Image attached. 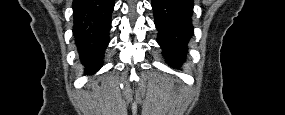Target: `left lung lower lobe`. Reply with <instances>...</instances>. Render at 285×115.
Instances as JSON below:
<instances>
[{"instance_id":"obj_1","label":"left lung lower lobe","mask_w":285,"mask_h":115,"mask_svg":"<svg viewBox=\"0 0 285 115\" xmlns=\"http://www.w3.org/2000/svg\"><path fill=\"white\" fill-rule=\"evenodd\" d=\"M192 0H152L157 41L170 65L179 67L186 58L187 44L193 36Z\"/></svg>"}]
</instances>
